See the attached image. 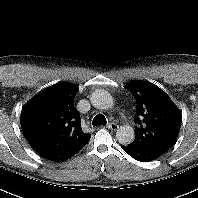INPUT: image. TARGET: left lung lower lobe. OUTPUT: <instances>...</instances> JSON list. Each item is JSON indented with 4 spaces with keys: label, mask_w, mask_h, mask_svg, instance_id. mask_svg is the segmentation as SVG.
Masks as SVG:
<instances>
[{
    "label": "left lung lower lobe",
    "mask_w": 198,
    "mask_h": 198,
    "mask_svg": "<svg viewBox=\"0 0 198 198\" xmlns=\"http://www.w3.org/2000/svg\"><path fill=\"white\" fill-rule=\"evenodd\" d=\"M121 148L126 151L132 158L141 161L148 162L157 159L163 153L148 151L141 148L134 147L132 145H121Z\"/></svg>",
    "instance_id": "left-lung-lower-lobe-1"
}]
</instances>
